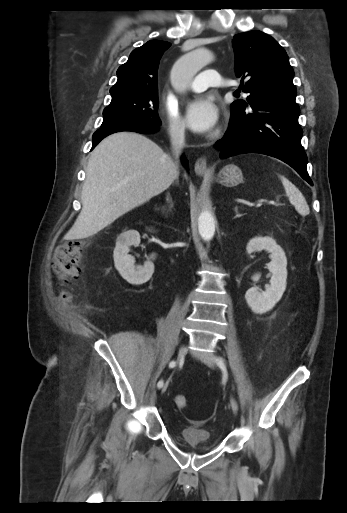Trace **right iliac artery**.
I'll use <instances>...</instances> for the list:
<instances>
[{
	"instance_id": "82829eb1",
	"label": "right iliac artery",
	"mask_w": 347,
	"mask_h": 513,
	"mask_svg": "<svg viewBox=\"0 0 347 513\" xmlns=\"http://www.w3.org/2000/svg\"><path fill=\"white\" fill-rule=\"evenodd\" d=\"M175 366H176V362H175L174 360H173V361H171V362L169 363V367H170V368H174ZM163 384H164V383H163V381H162V380H160V381L158 382V384H157V387H158V388H161V387H163Z\"/></svg>"
}]
</instances>
